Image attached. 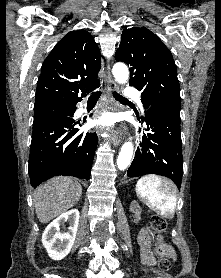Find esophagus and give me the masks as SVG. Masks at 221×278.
<instances>
[{
	"mask_svg": "<svg viewBox=\"0 0 221 278\" xmlns=\"http://www.w3.org/2000/svg\"><path fill=\"white\" fill-rule=\"evenodd\" d=\"M109 69H110V67L108 65V70ZM113 90L117 91L118 90V85L113 80L110 73H108V75H107V84H106V93H107V96H108L110 109L112 111L116 112V111L119 110L120 105L112 96V91ZM125 129H126L125 123H120L113 130L110 141L114 146H119L121 144Z\"/></svg>",
	"mask_w": 221,
	"mask_h": 278,
	"instance_id": "1",
	"label": "esophagus"
}]
</instances>
